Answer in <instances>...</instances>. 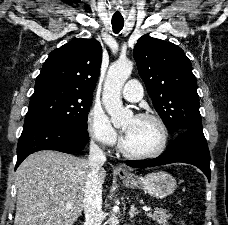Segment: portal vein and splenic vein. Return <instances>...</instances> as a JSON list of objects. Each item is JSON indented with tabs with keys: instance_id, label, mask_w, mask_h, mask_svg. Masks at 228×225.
I'll list each match as a JSON object with an SVG mask.
<instances>
[{
	"instance_id": "portal-vein-and-splenic-vein-1",
	"label": "portal vein and splenic vein",
	"mask_w": 228,
	"mask_h": 225,
	"mask_svg": "<svg viewBox=\"0 0 228 225\" xmlns=\"http://www.w3.org/2000/svg\"><path fill=\"white\" fill-rule=\"evenodd\" d=\"M177 207H182L183 203L182 202H177L176 203ZM143 211H151L150 207H143Z\"/></svg>"
}]
</instances>
